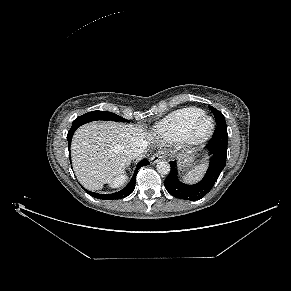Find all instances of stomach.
<instances>
[{
	"instance_id": "1",
	"label": "stomach",
	"mask_w": 291,
	"mask_h": 291,
	"mask_svg": "<svg viewBox=\"0 0 291 291\" xmlns=\"http://www.w3.org/2000/svg\"><path fill=\"white\" fill-rule=\"evenodd\" d=\"M192 161V157L189 155H182L179 158V167H186Z\"/></svg>"
}]
</instances>
